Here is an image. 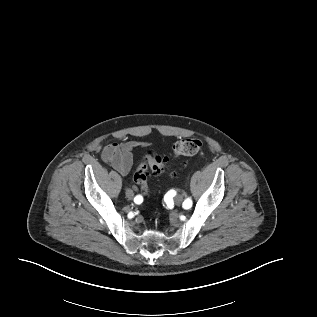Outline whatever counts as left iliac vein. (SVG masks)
<instances>
[{"label": "left iliac vein", "instance_id": "4c4485c4", "mask_svg": "<svg viewBox=\"0 0 317 317\" xmlns=\"http://www.w3.org/2000/svg\"><path fill=\"white\" fill-rule=\"evenodd\" d=\"M174 202L177 204V205H180L182 202H183V196L178 194L174 197Z\"/></svg>", "mask_w": 317, "mask_h": 317}]
</instances>
